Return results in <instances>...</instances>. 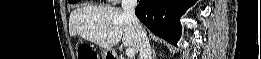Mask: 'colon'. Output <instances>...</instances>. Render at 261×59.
<instances>
[{
    "instance_id": "5ec220e1",
    "label": "colon",
    "mask_w": 261,
    "mask_h": 59,
    "mask_svg": "<svg viewBox=\"0 0 261 59\" xmlns=\"http://www.w3.org/2000/svg\"><path fill=\"white\" fill-rule=\"evenodd\" d=\"M79 59H97L96 52L89 46L81 47L78 51Z\"/></svg>"
}]
</instances>
